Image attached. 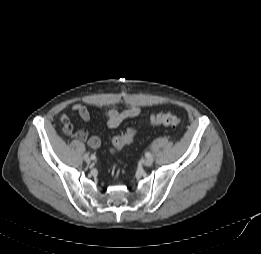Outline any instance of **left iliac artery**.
Listing matches in <instances>:
<instances>
[{"label": "left iliac artery", "instance_id": "left-iliac-artery-1", "mask_svg": "<svg viewBox=\"0 0 261 254\" xmlns=\"http://www.w3.org/2000/svg\"><path fill=\"white\" fill-rule=\"evenodd\" d=\"M145 156H146V158L148 159V158H150L152 155H151V153L147 152V153L145 154Z\"/></svg>", "mask_w": 261, "mask_h": 254}]
</instances>
